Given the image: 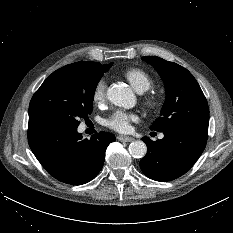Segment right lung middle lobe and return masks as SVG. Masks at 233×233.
<instances>
[{"instance_id":"right-lung-middle-lobe-1","label":"right lung middle lobe","mask_w":233,"mask_h":233,"mask_svg":"<svg viewBox=\"0 0 233 233\" xmlns=\"http://www.w3.org/2000/svg\"><path fill=\"white\" fill-rule=\"evenodd\" d=\"M109 68L69 64L53 72L33 95L29 123H57L78 127L93 109L96 86Z\"/></svg>"}]
</instances>
